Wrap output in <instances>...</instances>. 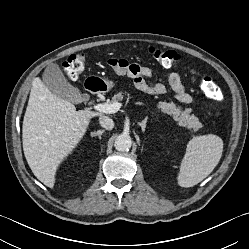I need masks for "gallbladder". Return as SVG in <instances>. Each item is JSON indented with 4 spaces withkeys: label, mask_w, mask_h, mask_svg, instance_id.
I'll return each mask as SVG.
<instances>
[{
    "label": "gallbladder",
    "mask_w": 249,
    "mask_h": 249,
    "mask_svg": "<svg viewBox=\"0 0 249 249\" xmlns=\"http://www.w3.org/2000/svg\"><path fill=\"white\" fill-rule=\"evenodd\" d=\"M42 78L45 86L58 97L72 103H79L82 100L81 93L67 81L59 65H48Z\"/></svg>",
    "instance_id": "gallbladder-1"
}]
</instances>
